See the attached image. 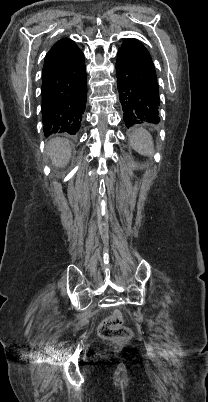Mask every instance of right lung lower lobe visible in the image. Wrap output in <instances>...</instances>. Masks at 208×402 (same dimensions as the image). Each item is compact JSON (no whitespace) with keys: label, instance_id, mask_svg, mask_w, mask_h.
I'll return each mask as SVG.
<instances>
[{"label":"right lung lower lobe","instance_id":"1","mask_svg":"<svg viewBox=\"0 0 208 402\" xmlns=\"http://www.w3.org/2000/svg\"><path fill=\"white\" fill-rule=\"evenodd\" d=\"M44 135L76 134L87 100L84 54L70 39L57 41L46 54L42 71Z\"/></svg>","mask_w":208,"mask_h":402}]
</instances>
